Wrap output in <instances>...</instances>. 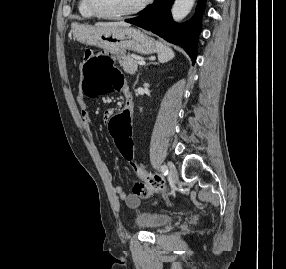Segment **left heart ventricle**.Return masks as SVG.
I'll use <instances>...</instances> for the list:
<instances>
[{
    "instance_id": "b2bd125f",
    "label": "left heart ventricle",
    "mask_w": 286,
    "mask_h": 269,
    "mask_svg": "<svg viewBox=\"0 0 286 269\" xmlns=\"http://www.w3.org/2000/svg\"><path fill=\"white\" fill-rule=\"evenodd\" d=\"M143 0H95L99 10L108 14H117L137 7Z\"/></svg>"
}]
</instances>
